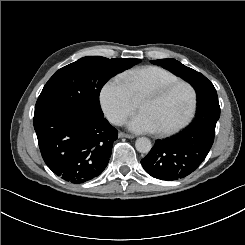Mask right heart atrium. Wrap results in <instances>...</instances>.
<instances>
[{
    "label": "right heart atrium",
    "instance_id": "obj_1",
    "mask_svg": "<svg viewBox=\"0 0 245 245\" xmlns=\"http://www.w3.org/2000/svg\"><path fill=\"white\" fill-rule=\"evenodd\" d=\"M100 104L108 119L113 124L120 125L132 113L134 100L129 88L120 78L112 77L100 91Z\"/></svg>",
    "mask_w": 245,
    "mask_h": 245
}]
</instances>
